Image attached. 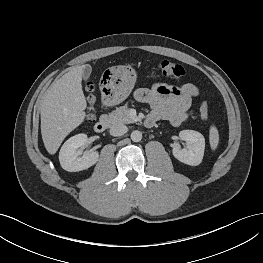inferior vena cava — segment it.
Listing matches in <instances>:
<instances>
[{
	"label": "inferior vena cava",
	"mask_w": 263,
	"mask_h": 263,
	"mask_svg": "<svg viewBox=\"0 0 263 263\" xmlns=\"http://www.w3.org/2000/svg\"><path fill=\"white\" fill-rule=\"evenodd\" d=\"M128 128L126 125L124 124H116L114 126L111 127L110 129V134L112 136H122L125 133H127Z\"/></svg>",
	"instance_id": "inferior-vena-cava-1"
}]
</instances>
